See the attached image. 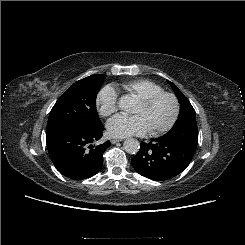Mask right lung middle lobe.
<instances>
[{
	"label": "right lung middle lobe",
	"instance_id": "obj_1",
	"mask_svg": "<svg viewBox=\"0 0 245 245\" xmlns=\"http://www.w3.org/2000/svg\"><path fill=\"white\" fill-rule=\"evenodd\" d=\"M101 77H86L74 83L53 106L47 129L70 126L85 130L100 129L95 101L103 84Z\"/></svg>",
	"mask_w": 245,
	"mask_h": 245
}]
</instances>
